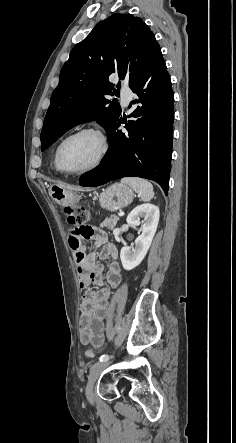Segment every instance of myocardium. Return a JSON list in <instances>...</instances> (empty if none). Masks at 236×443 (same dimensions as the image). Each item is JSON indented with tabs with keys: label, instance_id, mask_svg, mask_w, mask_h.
I'll return each instance as SVG.
<instances>
[{
	"label": "myocardium",
	"instance_id": "f54148a6",
	"mask_svg": "<svg viewBox=\"0 0 236 443\" xmlns=\"http://www.w3.org/2000/svg\"><path fill=\"white\" fill-rule=\"evenodd\" d=\"M86 133L93 134L99 141L100 150H99V154H98L97 159L95 160V162L92 165H90L84 169H81V170L69 171V170L64 169L61 165V159H60V154H61V150H62L63 146L70 139H72L76 136L82 135V134H86ZM108 149H109L108 139L101 129L94 127V126H84V127H81L79 129L73 131L72 133L67 135L60 142V144L58 145L56 152H55V164H56L57 169L60 172L67 174V175L87 174L92 171H95L96 169H98L101 166V164L103 163V161L107 155Z\"/></svg>",
	"mask_w": 236,
	"mask_h": 443
}]
</instances>
